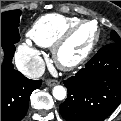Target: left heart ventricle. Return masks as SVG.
Masks as SVG:
<instances>
[{
  "mask_svg": "<svg viewBox=\"0 0 121 121\" xmlns=\"http://www.w3.org/2000/svg\"><path fill=\"white\" fill-rule=\"evenodd\" d=\"M96 37V28L92 24L81 26L62 47L60 57L63 61H72L82 56Z\"/></svg>",
  "mask_w": 121,
  "mask_h": 121,
  "instance_id": "1",
  "label": "left heart ventricle"
}]
</instances>
